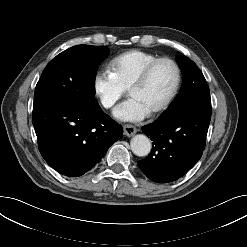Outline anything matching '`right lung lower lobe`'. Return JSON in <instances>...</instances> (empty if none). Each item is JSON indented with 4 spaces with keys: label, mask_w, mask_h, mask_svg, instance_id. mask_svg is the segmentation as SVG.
<instances>
[{
    "label": "right lung lower lobe",
    "mask_w": 247,
    "mask_h": 247,
    "mask_svg": "<svg viewBox=\"0 0 247 247\" xmlns=\"http://www.w3.org/2000/svg\"><path fill=\"white\" fill-rule=\"evenodd\" d=\"M32 122L45 161L65 176H81L94 167L123 128L102 112L58 97L33 107Z\"/></svg>",
    "instance_id": "obj_1"
}]
</instances>
